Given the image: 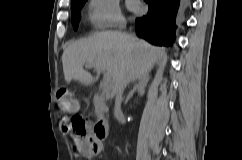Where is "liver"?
I'll use <instances>...</instances> for the list:
<instances>
[{
  "label": "liver",
  "instance_id": "6515ba94",
  "mask_svg": "<svg viewBox=\"0 0 242 160\" xmlns=\"http://www.w3.org/2000/svg\"><path fill=\"white\" fill-rule=\"evenodd\" d=\"M166 53L163 48L153 46L132 35L109 31L80 39L68 45L62 55L65 81L77 80L90 85L98 81L100 73L106 72L112 81L113 91L120 79L129 77V81L148 78L154 63ZM92 65L97 72L94 77L83 69ZM128 68H138V73H128Z\"/></svg>",
  "mask_w": 242,
  "mask_h": 160
}]
</instances>
